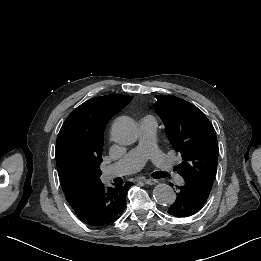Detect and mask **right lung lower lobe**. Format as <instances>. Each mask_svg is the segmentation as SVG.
I'll use <instances>...</instances> for the list:
<instances>
[{
	"label": "right lung lower lobe",
	"instance_id": "right-lung-lower-lobe-1",
	"mask_svg": "<svg viewBox=\"0 0 261 261\" xmlns=\"http://www.w3.org/2000/svg\"><path fill=\"white\" fill-rule=\"evenodd\" d=\"M133 183L106 189L102 182L70 205L77 217L91 226L108 225L116 221L126 207V192Z\"/></svg>",
	"mask_w": 261,
	"mask_h": 261
}]
</instances>
